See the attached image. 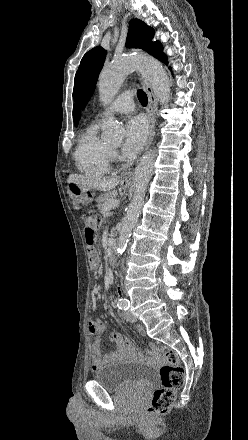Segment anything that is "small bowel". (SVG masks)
<instances>
[{"instance_id":"1","label":"small bowel","mask_w":248,"mask_h":440,"mask_svg":"<svg viewBox=\"0 0 248 440\" xmlns=\"http://www.w3.org/2000/svg\"><path fill=\"white\" fill-rule=\"evenodd\" d=\"M138 333H144L142 326H136ZM105 331V323L97 318L88 322V332L93 337L91 346L92 352V368L97 370L104 364L120 361L125 358H135L138 356V352L131 341L124 335L114 333L110 336V341L116 345V350L107 354L102 350V335ZM149 345H154V340H149Z\"/></svg>"}]
</instances>
